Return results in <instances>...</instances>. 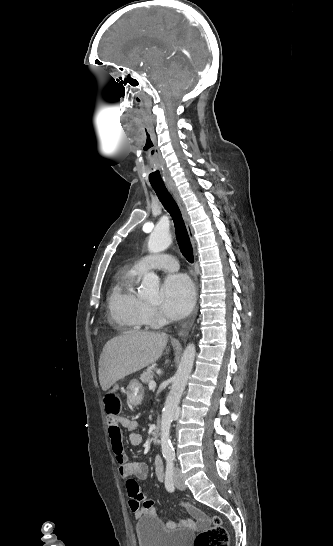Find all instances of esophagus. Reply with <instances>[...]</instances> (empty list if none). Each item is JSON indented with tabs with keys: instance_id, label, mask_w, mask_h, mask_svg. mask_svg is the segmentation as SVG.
<instances>
[{
	"instance_id": "1",
	"label": "esophagus",
	"mask_w": 333,
	"mask_h": 546,
	"mask_svg": "<svg viewBox=\"0 0 333 546\" xmlns=\"http://www.w3.org/2000/svg\"><path fill=\"white\" fill-rule=\"evenodd\" d=\"M167 188H168L169 192L172 194L173 198L175 199L177 205L179 206V209H180V211L182 213V216H183V219L185 221L189 236H190L192 242L194 243L193 227L191 225L190 218H189L186 206H185V204H184V202H183V200H182V198H181V196L179 194V191H178L177 187L174 184H167ZM197 311H198V306L195 307L192 318L196 317Z\"/></svg>"
}]
</instances>
